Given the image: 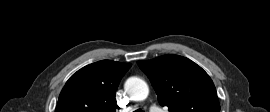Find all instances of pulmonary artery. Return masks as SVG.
<instances>
[{
	"label": "pulmonary artery",
	"mask_w": 270,
	"mask_h": 112,
	"mask_svg": "<svg viewBox=\"0 0 270 112\" xmlns=\"http://www.w3.org/2000/svg\"><path fill=\"white\" fill-rule=\"evenodd\" d=\"M153 112H162L160 109H154Z\"/></svg>",
	"instance_id": "obj_1"
}]
</instances>
